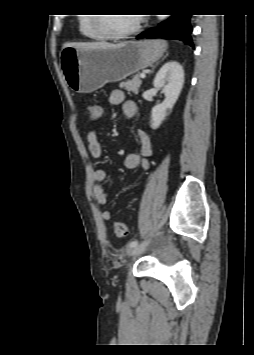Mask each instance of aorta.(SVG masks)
Segmentation results:
<instances>
[{
	"label": "aorta",
	"instance_id": "1",
	"mask_svg": "<svg viewBox=\"0 0 254 355\" xmlns=\"http://www.w3.org/2000/svg\"><path fill=\"white\" fill-rule=\"evenodd\" d=\"M158 17H159V20H164V19H166L167 16L166 15H159Z\"/></svg>",
	"mask_w": 254,
	"mask_h": 355
}]
</instances>
